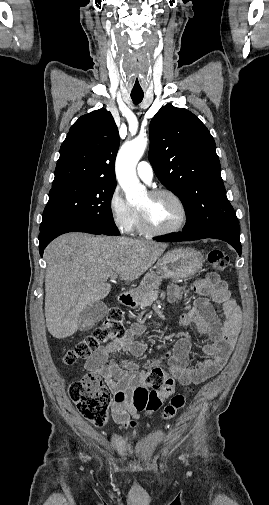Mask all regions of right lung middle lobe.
Returning a JSON list of instances; mask_svg holds the SVG:
<instances>
[{"label": "right lung middle lobe", "instance_id": "dd1d6c3e", "mask_svg": "<svg viewBox=\"0 0 269 505\" xmlns=\"http://www.w3.org/2000/svg\"><path fill=\"white\" fill-rule=\"evenodd\" d=\"M115 183H71L52 187L40 230L57 222L75 223L106 235H119L110 210Z\"/></svg>", "mask_w": 269, "mask_h": 505}]
</instances>
